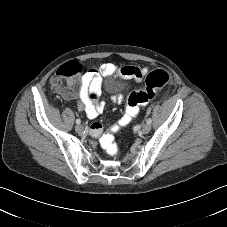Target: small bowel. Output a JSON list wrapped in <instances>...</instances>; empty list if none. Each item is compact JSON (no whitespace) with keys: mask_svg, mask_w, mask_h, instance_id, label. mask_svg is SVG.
<instances>
[{"mask_svg":"<svg viewBox=\"0 0 227 227\" xmlns=\"http://www.w3.org/2000/svg\"><path fill=\"white\" fill-rule=\"evenodd\" d=\"M137 68L141 72V76L139 78H133V80L137 83H140L145 75L148 72L147 67H134V66H124L121 69L118 68L113 63H102L99 66H94L83 74L81 80V89L79 93V98L77 99L78 108L80 111H83L86 116L93 120L97 118L104 109V103L100 99L101 94V81L105 76H113L116 74H120L124 77L130 78L124 74V71ZM55 77L52 79L54 80ZM97 92V97H92V91ZM66 99H72L67 95H64ZM116 101L119 100L118 97L114 98ZM103 131L102 125L94 121L89 126V132L92 137H98Z\"/></svg>","mask_w":227,"mask_h":227,"instance_id":"small-bowel-1","label":"small bowel"}]
</instances>
